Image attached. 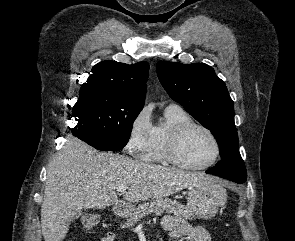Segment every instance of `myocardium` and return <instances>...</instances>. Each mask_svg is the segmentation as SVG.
Here are the masks:
<instances>
[{
    "mask_svg": "<svg viewBox=\"0 0 295 241\" xmlns=\"http://www.w3.org/2000/svg\"><path fill=\"white\" fill-rule=\"evenodd\" d=\"M198 128L203 130L208 136L212 139L214 146H215V153L213 158L203 165H190L182 161L178 155V147L180 144L181 139L183 136L191 129ZM164 153L166 159L172 163L173 165L190 171H201L210 168L213 166L220 158L221 155V145L220 142L215 135V133L208 128L207 126L194 122L189 121L180 125L175 126L167 135L164 147Z\"/></svg>",
    "mask_w": 295,
    "mask_h": 241,
    "instance_id": "f54148a6",
    "label": "myocardium"
}]
</instances>
